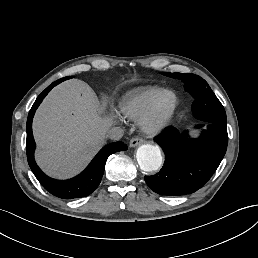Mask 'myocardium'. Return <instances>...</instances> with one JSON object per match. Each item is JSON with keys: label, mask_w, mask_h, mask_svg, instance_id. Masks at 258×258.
Wrapping results in <instances>:
<instances>
[{"label": "myocardium", "mask_w": 258, "mask_h": 258, "mask_svg": "<svg viewBox=\"0 0 258 258\" xmlns=\"http://www.w3.org/2000/svg\"><path fill=\"white\" fill-rule=\"evenodd\" d=\"M163 98L169 99L170 104L168 108H163L161 106ZM176 108L177 97L175 93L170 90H161L156 95L151 107L138 119L143 133L148 137H157L162 135L174 116ZM149 123L153 124L152 128L147 127V124Z\"/></svg>", "instance_id": "f54148a6"}]
</instances>
